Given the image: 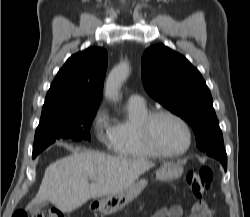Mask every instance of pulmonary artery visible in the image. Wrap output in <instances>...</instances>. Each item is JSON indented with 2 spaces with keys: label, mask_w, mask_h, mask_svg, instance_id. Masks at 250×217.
<instances>
[{
  "label": "pulmonary artery",
  "mask_w": 250,
  "mask_h": 217,
  "mask_svg": "<svg viewBox=\"0 0 250 217\" xmlns=\"http://www.w3.org/2000/svg\"><path fill=\"white\" fill-rule=\"evenodd\" d=\"M128 102L130 103H143V98L138 94H131L128 98Z\"/></svg>",
  "instance_id": "e3ab8cb5"
}]
</instances>
